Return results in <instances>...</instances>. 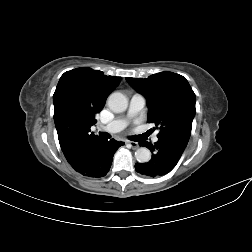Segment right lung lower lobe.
<instances>
[{
	"label": "right lung lower lobe",
	"mask_w": 252,
	"mask_h": 252,
	"mask_svg": "<svg viewBox=\"0 0 252 252\" xmlns=\"http://www.w3.org/2000/svg\"><path fill=\"white\" fill-rule=\"evenodd\" d=\"M124 145L114 139L99 138L81 145L67 161L75 171L88 177H103L109 171L113 155L116 150Z\"/></svg>",
	"instance_id": "right-lung-lower-lobe-1"
}]
</instances>
